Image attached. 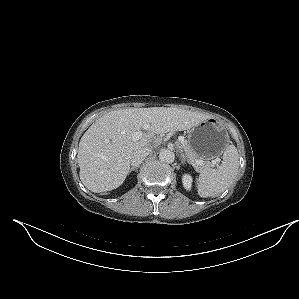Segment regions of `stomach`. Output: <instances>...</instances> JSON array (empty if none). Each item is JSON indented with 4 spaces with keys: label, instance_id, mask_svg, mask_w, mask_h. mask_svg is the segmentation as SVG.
<instances>
[{
    "label": "stomach",
    "instance_id": "obj_1",
    "mask_svg": "<svg viewBox=\"0 0 299 299\" xmlns=\"http://www.w3.org/2000/svg\"><path fill=\"white\" fill-rule=\"evenodd\" d=\"M187 138L191 148L207 161L221 156L230 143L227 130L211 117L189 129Z\"/></svg>",
    "mask_w": 299,
    "mask_h": 299
}]
</instances>
